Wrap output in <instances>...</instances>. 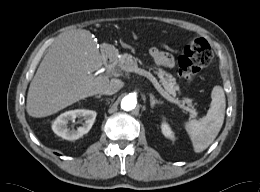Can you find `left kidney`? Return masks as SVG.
<instances>
[{
    "mask_svg": "<svg viewBox=\"0 0 260 192\" xmlns=\"http://www.w3.org/2000/svg\"><path fill=\"white\" fill-rule=\"evenodd\" d=\"M161 129H162V133L164 134V136H166L167 138H170L172 140L175 139L174 132L172 131L171 127L169 126V124L167 122L164 121L161 124Z\"/></svg>",
    "mask_w": 260,
    "mask_h": 192,
    "instance_id": "obj_1",
    "label": "left kidney"
}]
</instances>
